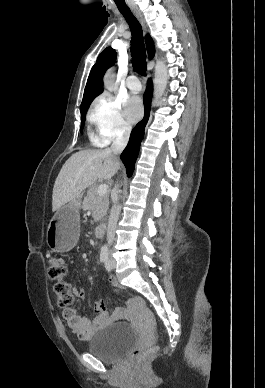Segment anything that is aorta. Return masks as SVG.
<instances>
[{
  "mask_svg": "<svg viewBox=\"0 0 265 388\" xmlns=\"http://www.w3.org/2000/svg\"><path fill=\"white\" fill-rule=\"evenodd\" d=\"M167 82H168L167 67L163 61H157L155 66V78H154V96H155L156 102H158L159 99L164 94ZM104 86L109 91H115L117 89V84L113 80V74L111 73V71H108L104 77Z\"/></svg>",
  "mask_w": 265,
  "mask_h": 388,
  "instance_id": "762f6f07",
  "label": "aorta"
}]
</instances>
